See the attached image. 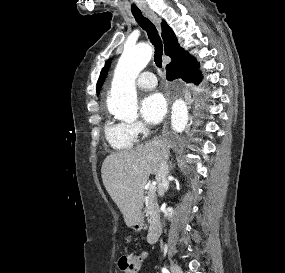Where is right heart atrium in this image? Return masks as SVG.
<instances>
[{
  "instance_id": "1",
  "label": "right heart atrium",
  "mask_w": 285,
  "mask_h": 273,
  "mask_svg": "<svg viewBox=\"0 0 285 273\" xmlns=\"http://www.w3.org/2000/svg\"><path fill=\"white\" fill-rule=\"evenodd\" d=\"M129 128L132 131V133L135 134L136 136L142 134L145 130V126L141 122L131 123L129 124Z\"/></svg>"
}]
</instances>
